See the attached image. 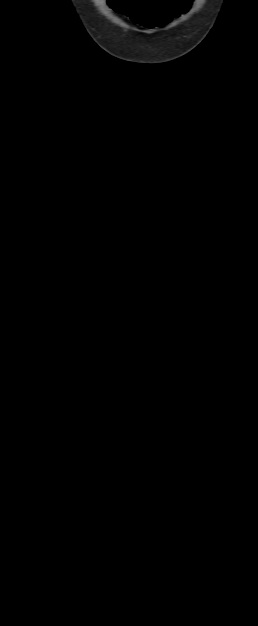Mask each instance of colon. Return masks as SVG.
<instances>
[{
  "label": "colon",
  "mask_w": 258,
  "mask_h": 626,
  "mask_svg": "<svg viewBox=\"0 0 258 626\" xmlns=\"http://www.w3.org/2000/svg\"><path fill=\"white\" fill-rule=\"evenodd\" d=\"M166 17H164L162 20H164ZM162 20L157 21L156 24H159Z\"/></svg>",
  "instance_id": "5ec220e1"
}]
</instances>
